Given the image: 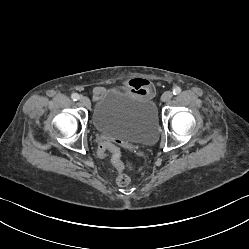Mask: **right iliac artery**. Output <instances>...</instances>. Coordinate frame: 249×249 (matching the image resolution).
Returning <instances> with one entry per match:
<instances>
[{
  "mask_svg": "<svg viewBox=\"0 0 249 249\" xmlns=\"http://www.w3.org/2000/svg\"><path fill=\"white\" fill-rule=\"evenodd\" d=\"M71 98H72L74 101H77V100L80 99V95L77 94V93H73V94L71 95Z\"/></svg>",
  "mask_w": 249,
  "mask_h": 249,
  "instance_id": "1",
  "label": "right iliac artery"
}]
</instances>
